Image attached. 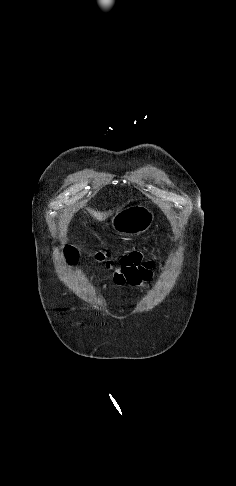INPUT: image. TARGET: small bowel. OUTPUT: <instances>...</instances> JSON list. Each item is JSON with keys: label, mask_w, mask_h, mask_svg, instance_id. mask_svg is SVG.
Segmentation results:
<instances>
[{"label": "small bowel", "mask_w": 236, "mask_h": 486, "mask_svg": "<svg viewBox=\"0 0 236 486\" xmlns=\"http://www.w3.org/2000/svg\"><path fill=\"white\" fill-rule=\"evenodd\" d=\"M152 263L142 261L138 253H131L121 260V266L113 276L114 284L118 286H139L151 281L153 277Z\"/></svg>", "instance_id": "c3829d8e"}]
</instances>
